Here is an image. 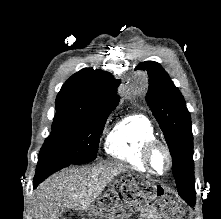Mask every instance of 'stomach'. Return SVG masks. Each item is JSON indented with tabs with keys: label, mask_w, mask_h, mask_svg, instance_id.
I'll use <instances>...</instances> for the list:
<instances>
[{
	"label": "stomach",
	"mask_w": 221,
	"mask_h": 219,
	"mask_svg": "<svg viewBox=\"0 0 221 219\" xmlns=\"http://www.w3.org/2000/svg\"><path fill=\"white\" fill-rule=\"evenodd\" d=\"M167 195H169V190H152V199H167Z\"/></svg>",
	"instance_id": "stomach-1"
}]
</instances>
